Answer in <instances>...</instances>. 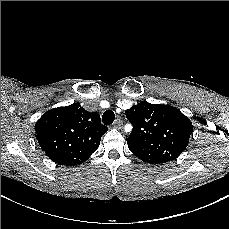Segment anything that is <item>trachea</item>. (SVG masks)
<instances>
[{"label":"trachea","instance_id":"1","mask_svg":"<svg viewBox=\"0 0 229 229\" xmlns=\"http://www.w3.org/2000/svg\"><path fill=\"white\" fill-rule=\"evenodd\" d=\"M115 114L112 110H106L102 116V121L105 125H111L114 122Z\"/></svg>","mask_w":229,"mask_h":229}]
</instances>
